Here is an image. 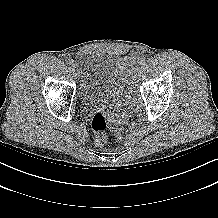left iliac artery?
Listing matches in <instances>:
<instances>
[{
	"label": "left iliac artery",
	"instance_id": "1",
	"mask_svg": "<svg viewBox=\"0 0 218 218\" xmlns=\"http://www.w3.org/2000/svg\"><path fill=\"white\" fill-rule=\"evenodd\" d=\"M142 66L145 65V58L141 59L139 62Z\"/></svg>",
	"mask_w": 218,
	"mask_h": 218
}]
</instances>
